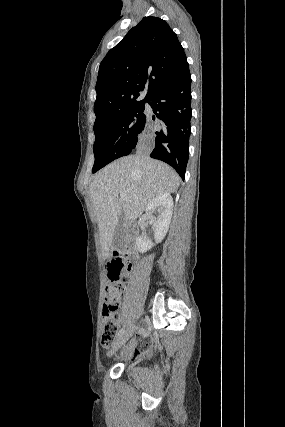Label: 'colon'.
Wrapping results in <instances>:
<instances>
[{
  "label": "colon",
  "instance_id": "colon-1",
  "mask_svg": "<svg viewBox=\"0 0 285 427\" xmlns=\"http://www.w3.org/2000/svg\"><path fill=\"white\" fill-rule=\"evenodd\" d=\"M125 259L113 254L107 264L108 285L104 293L102 345L110 346L119 333V316L117 313L123 295L122 275L125 271Z\"/></svg>",
  "mask_w": 285,
  "mask_h": 427
}]
</instances>
